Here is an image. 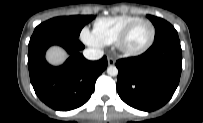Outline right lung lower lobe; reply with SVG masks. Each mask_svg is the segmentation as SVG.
I'll return each instance as SVG.
<instances>
[{
	"mask_svg": "<svg viewBox=\"0 0 203 123\" xmlns=\"http://www.w3.org/2000/svg\"><path fill=\"white\" fill-rule=\"evenodd\" d=\"M52 45H59L70 54L59 67H53L45 60V52ZM83 48L78 39L46 32H34L30 38V81L37 96L49 107L68 111L82 106L91 97L98 76L107 67V58L88 61L79 53Z\"/></svg>",
	"mask_w": 203,
	"mask_h": 123,
	"instance_id": "1",
	"label": "right lung lower lobe"
}]
</instances>
